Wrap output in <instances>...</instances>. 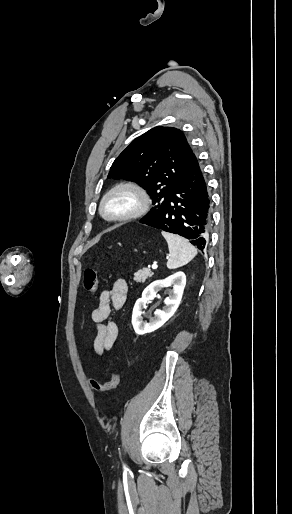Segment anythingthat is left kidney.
<instances>
[{"instance_id": "left-kidney-1", "label": "left kidney", "mask_w": 292, "mask_h": 514, "mask_svg": "<svg viewBox=\"0 0 292 514\" xmlns=\"http://www.w3.org/2000/svg\"><path fill=\"white\" fill-rule=\"evenodd\" d=\"M167 286H173V290H171L169 298H165L163 310H156V312H154V318H150L149 322H144L142 316L144 306H146L149 300L155 298L161 288H167ZM185 286L186 276L184 272H176L173 276H169V278H165V280H156V282H152L150 286L145 288L142 298L137 300L132 312V326L138 336L155 332V330L161 328L165 322H168L169 318L175 314L181 302Z\"/></svg>"}]
</instances>
